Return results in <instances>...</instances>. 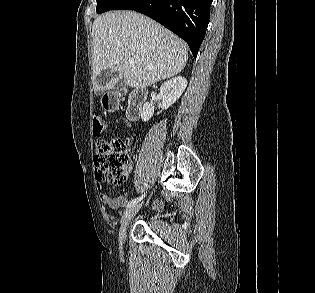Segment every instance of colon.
Masks as SVG:
<instances>
[{"label": "colon", "mask_w": 315, "mask_h": 293, "mask_svg": "<svg viewBox=\"0 0 315 293\" xmlns=\"http://www.w3.org/2000/svg\"><path fill=\"white\" fill-rule=\"evenodd\" d=\"M105 120L99 113L92 117V132L99 136L105 128ZM94 164L99 181L120 185L125 182L129 172V155L126 144L119 137L98 142Z\"/></svg>", "instance_id": "5ec220e1"}]
</instances>
